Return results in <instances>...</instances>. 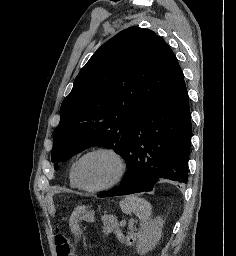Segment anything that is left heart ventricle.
Masks as SVG:
<instances>
[{
  "mask_svg": "<svg viewBox=\"0 0 236 256\" xmlns=\"http://www.w3.org/2000/svg\"><path fill=\"white\" fill-rule=\"evenodd\" d=\"M118 173V163L109 153H95L87 156L81 165L85 185L99 187L111 182Z\"/></svg>",
  "mask_w": 236,
  "mask_h": 256,
  "instance_id": "1",
  "label": "left heart ventricle"
}]
</instances>
